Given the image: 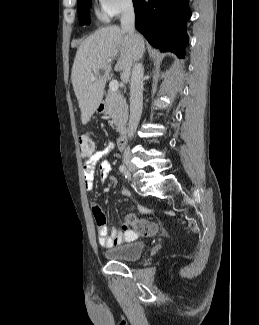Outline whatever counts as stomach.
<instances>
[{
  "label": "stomach",
  "instance_id": "stomach-1",
  "mask_svg": "<svg viewBox=\"0 0 259 325\" xmlns=\"http://www.w3.org/2000/svg\"><path fill=\"white\" fill-rule=\"evenodd\" d=\"M106 111H107V106L104 102H101L96 108V112L99 114H104Z\"/></svg>",
  "mask_w": 259,
  "mask_h": 325
}]
</instances>
